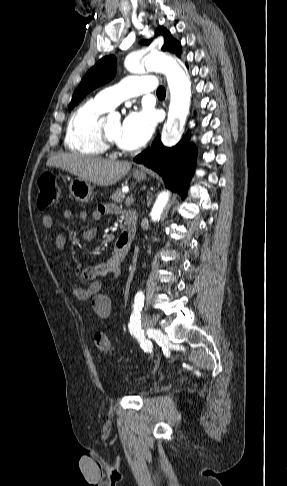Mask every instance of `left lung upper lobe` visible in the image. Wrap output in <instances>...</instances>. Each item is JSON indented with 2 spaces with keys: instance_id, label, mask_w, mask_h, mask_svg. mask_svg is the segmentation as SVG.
<instances>
[{
  "instance_id": "5c2ea615",
  "label": "left lung upper lobe",
  "mask_w": 287,
  "mask_h": 486,
  "mask_svg": "<svg viewBox=\"0 0 287 486\" xmlns=\"http://www.w3.org/2000/svg\"><path fill=\"white\" fill-rule=\"evenodd\" d=\"M156 36H164L163 51H169L181 56V45L178 41L172 38L170 32L164 27H158L155 32ZM150 41L144 40L143 44H149ZM116 73V59L113 55L106 56L100 59L84 76L77 90L75 91L72 100L69 104V111L72 110L88 93L93 89L112 80Z\"/></svg>"
}]
</instances>
